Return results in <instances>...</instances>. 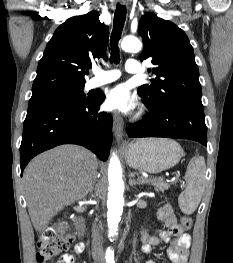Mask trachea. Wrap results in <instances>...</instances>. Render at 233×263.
<instances>
[{"label": "trachea", "mask_w": 233, "mask_h": 263, "mask_svg": "<svg viewBox=\"0 0 233 263\" xmlns=\"http://www.w3.org/2000/svg\"><path fill=\"white\" fill-rule=\"evenodd\" d=\"M125 20H126V7L118 3L114 14V28L111 34V58H110L111 63L118 64L120 62L118 41L121 37Z\"/></svg>", "instance_id": "3493384b"}]
</instances>
